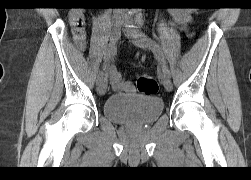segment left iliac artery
Wrapping results in <instances>:
<instances>
[{"instance_id": "obj_1", "label": "left iliac artery", "mask_w": 251, "mask_h": 180, "mask_svg": "<svg viewBox=\"0 0 251 180\" xmlns=\"http://www.w3.org/2000/svg\"><path fill=\"white\" fill-rule=\"evenodd\" d=\"M137 21L138 24H142V18L140 16L137 17ZM149 42H150V46L152 48L153 53L156 55V57L158 58V60L160 61L161 65H162V71L164 74L170 76V71L168 69V67L166 66L164 57H163V52L162 49L159 45L158 42H156L155 40L149 38Z\"/></svg>"}]
</instances>
